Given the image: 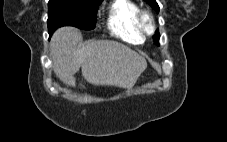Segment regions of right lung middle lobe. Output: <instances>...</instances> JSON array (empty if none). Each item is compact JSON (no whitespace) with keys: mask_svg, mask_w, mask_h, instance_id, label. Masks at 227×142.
<instances>
[{"mask_svg":"<svg viewBox=\"0 0 227 142\" xmlns=\"http://www.w3.org/2000/svg\"><path fill=\"white\" fill-rule=\"evenodd\" d=\"M101 2L102 0H49L47 24L50 36L62 26L94 29Z\"/></svg>","mask_w":227,"mask_h":142,"instance_id":"right-lung-middle-lobe-1","label":"right lung middle lobe"}]
</instances>
